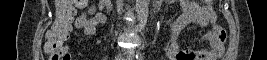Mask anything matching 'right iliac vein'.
I'll use <instances>...</instances> for the list:
<instances>
[{
    "label": "right iliac vein",
    "mask_w": 267,
    "mask_h": 60,
    "mask_svg": "<svg viewBox=\"0 0 267 60\" xmlns=\"http://www.w3.org/2000/svg\"><path fill=\"white\" fill-rule=\"evenodd\" d=\"M120 56H121V55L119 54V55H118V58H119V59H120Z\"/></svg>",
    "instance_id": "right-iliac-vein-1"
}]
</instances>
